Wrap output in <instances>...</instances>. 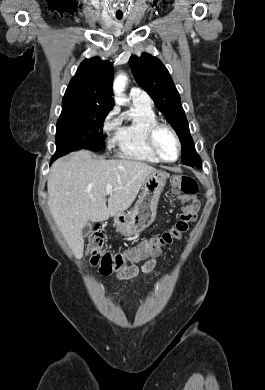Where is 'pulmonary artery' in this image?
Wrapping results in <instances>:
<instances>
[{
  "mask_svg": "<svg viewBox=\"0 0 265 390\" xmlns=\"http://www.w3.org/2000/svg\"><path fill=\"white\" fill-rule=\"evenodd\" d=\"M130 98L133 103L151 104V100L148 95H146V93H144L138 88L131 89Z\"/></svg>",
  "mask_w": 265,
  "mask_h": 390,
  "instance_id": "pulmonary-artery-1",
  "label": "pulmonary artery"
}]
</instances>
